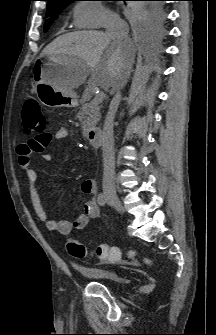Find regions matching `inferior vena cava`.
<instances>
[{
	"label": "inferior vena cava",
	"instance_id": "1",
	"mask_svg": "<svg viewBox=\"0 0 216 335\" xmlns=\"http://www.w3.org/2000/svg\"><path fill=\"white\" fill-rule=\"evenodd\" d=\"M106 35L111 39L121 42L128 40L129 27L127 23L118 15L112 14L106 21ZM131 64L122 65L118 72V88L111 101L109 111L105 118L102 135V152H103V189L115 191V150L113 138V122L115 113L118 109L121 92L120 89L127 83L130 77Z\"/></svg>",
	"mask_w": 216,
	"mask_h": 335
}]
</instances>
